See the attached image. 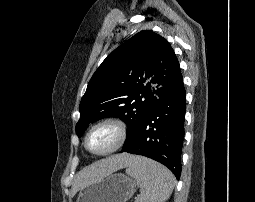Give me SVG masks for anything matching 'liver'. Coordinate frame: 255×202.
Listing matches in <instances>:
<instances>
[{"label":"liver","mask_w":255,"mask_h":202,"mask_svg":"<svg viewBox=\"0 0 255 202\" xmlns=\"http://www.w3.org/2000/svg\"><path fill=\"white\" fill-rule=\"evenodd\" d=\"M136 158L137 157L130 154H118L85 167L75 176L72 185L73 193H76L79 189L95 180L102 179L114 171L129 166L136 160Z\"/></svg>","instance_id":"obj_1"}]
</instances>
